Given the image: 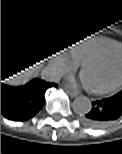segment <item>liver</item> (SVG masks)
Returning a JSON list of instances; mask_svg holds the SVG:
<instances>
[{
  "label": "liver",
  "mask_w": 122,
  "mask_h": 154,
  "mask_svg": "<svg viewBox=\"0 0 122 154\" xmlns=\"http://www.w3.org/2000/svg\"><path fill=\"white\" fill-rule=\"evenodd\" d=\"M41 64L42 60L37 61L36 63H33V65H30L16 74L5 78L4 82H15L16 84L24 83L37 73V70L40 68Z\"/></svg>",
  "instance_id": "1"
}]
</instances>
